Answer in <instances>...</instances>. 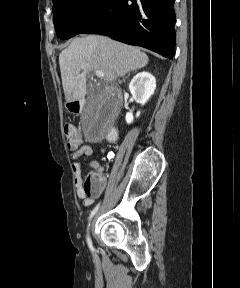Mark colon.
Listing matches in <instances>:
<instances>
[{"mask_svg":"<svg viewBox=\"0 0 240 288\" xmlns=\"http://www.w3.org/2000/svg\"><path fill=\"white\" fill-rule=\"evenodd\" d=\"M64 132L67 138V144L69 148L75 149L81 144V135L79 134L78 130L74 125H72L71 123H66L64 126ZM99 189L100 184L98 179H96L92 175H89L83 185L84 194L87 197H92L99 192Z\"/></svg>","mask_w":240,"mask_h":288,"instance_id":"obj_1","label":"colon"}]
</instances>
